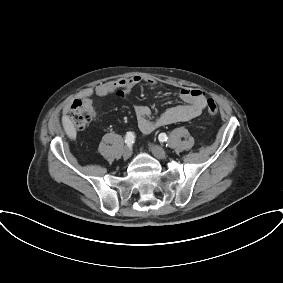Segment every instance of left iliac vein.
<instances>
[{"mask_svg":"<svg viewBox=\"0 0 283 283\" xmlns=\"http://www.w3.org/2000/svg\"><path fill=\"white\" fill-rule=\"evenodd\" d=\"M150 150L158 159H165L167 157L165 150L158 145L150 144Z\"/></svg>","mask_w":283,"mask_h":283,"instance_id":"4c4485c4","label":"left iliac vein"}]
</instances>
